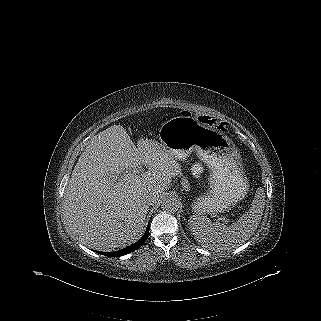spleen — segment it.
<instances>
[{
    "mask_svg": "<svg viewBox=\"0 0 321 321\" xmlns=\"http://www.w3.org/2000/svg\"><path fill=\"white\" fill-rule=\"evenodd\" d=\"M265 208V195L259 189L251 208L238 221L226 226L212 223L205 216L193 215L189 219L192 234L198 243L213 251L229 250L241 245L257 230Z\"/></svg>",
    "mask_w": 321,
    "mask_h": 321,
    "instance_id": "spleen-1",
    "label": "spleen"
}]
</instances>
